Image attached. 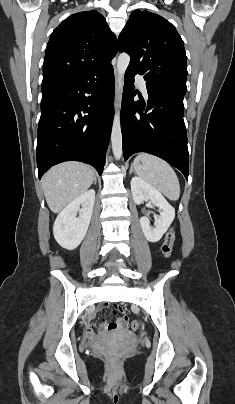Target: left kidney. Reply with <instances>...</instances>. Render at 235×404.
<instances>
[{"instance_id": "left-kidney-1", "label": "left kidney", "mask_w": 235, "mask_h": 404, "mask_svg": "<svg viewBox=\"0 0 235 404\" xmlns=\"http://www.w3.org/2000/svg\"><path fill=\"white\" fill-rule=\"evenodd\" d=\"M131 192L136 204L150 199L159 208L160 215L155 218V226H150L149 218H140V225L144 236L149 242H158L168 230L175 217V209L167 202L163 195L140 177L131 179Z\"/></svg>"}]
</instances>
